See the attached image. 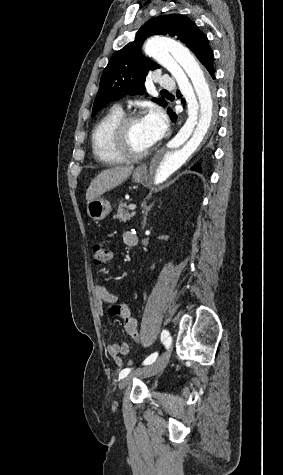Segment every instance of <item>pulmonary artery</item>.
I'll use <instances>...</instances> for the list:
<instances>
[{
	"instance_id": "pulmonary-artery-1",
	"label": "pulmonary artery",
	"mask_w": 283,
	"mask_h": 475,
	"mask_svg": "<svg viewBox=\"0 0 283 475\" xmlns=\"http://www.w3.org/2000/svg\"><path fill=\"white\" fill-rule=\"evenodd\" d=\"M173 82L172 80H159L158 81V88L159 89H172Z\"/></svg>"
}]
</instances>
